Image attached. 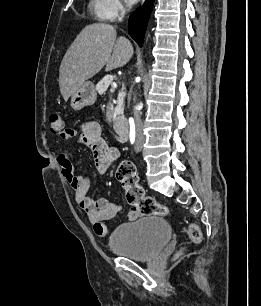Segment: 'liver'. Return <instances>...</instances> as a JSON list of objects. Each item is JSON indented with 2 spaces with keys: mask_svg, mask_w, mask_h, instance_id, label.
<instances>
[{
  "mask_svg": "<svg viewBox=\"0 0 261 306\" xmlns=\"http://www.w3.org/2000/svg\"><path fill=\"white\" fill-rule=\"evenodd\" d=\"M116 36V29L105 23L90 24L79 33L59 69V87L65 101L104 66L110 71L130 61L134 54L131 42Z\"/></svg>",
  "mask_w": 261,
  "mask_h": 306,
  "instance_id": "liver-1",
  "label": "liver"
}]
</instances>
